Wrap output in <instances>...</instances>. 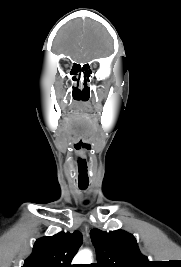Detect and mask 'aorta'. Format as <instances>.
Listing matches in <instances>:
<instances>
[{"label": "aorta", "instance_id": "1", "mask_svg": "<svg viewBox=\"0 0 181 267\" xmlns=\"http://www.w3.org/2000/svg\"><path fill=\"white\" fill-rule=\"evenodd\" d=\"M73 262L75 264H91L92 252L89 249L80 250L75 256Z\"/></svg>", "mask_w": 181, "mask_h": 267}]
</instances>
